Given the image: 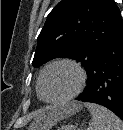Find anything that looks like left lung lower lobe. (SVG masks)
Listing matches in <instances>:
<instances>
[{
  "label": "left lung lower lobe",
  "instance_id": "1",
  "mask_svg": "<svg viewBox=\"0 0 123 130\" xmlns=\"http://www.w3.org/2000/svg\"><path fill=\"white\" fill-rule=\"evenodd\" d=\"M78 101L105 106L123 120V27L98 54Z\"/></svg>",
  "mask_w": 123,
  "mask_h": 130
}]
</instances>
